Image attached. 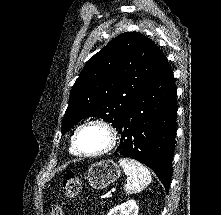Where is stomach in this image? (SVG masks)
<instances>
[{
	"instance_id": "1",
	"label": "stomach",
	"mask_w": 221,
	"mask_h": 215,
	"mask_svg": "<svg viewBox=\"0 0 221 215\" xmlns=\"http://www.w3.org/2000/svg\"><path fill=\"white\" fill-rule=\"evenodd\" d=\"M120 175L121 169L117 163L112 160H103L89 167L87 179L91 188L103 189L117 181Z\"/></svg>"
}]
</instances>
